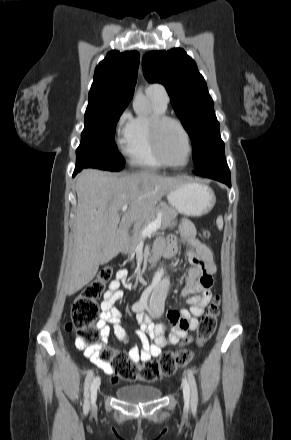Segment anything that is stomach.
<instances>
[{
    "label": "stomach",
    "mask_w": 291,
    "mask_h": 440,
    "mask_svg": "<svg viewBox=\"0 0 291 440\" xmlns=\"http://www.w3.org/2000/svg\"><path fill=\"white\" fill-rule=\"evenodd\" d=\"M167 200L181 214L201 216L211 211L216 196L205 184L183 180L167 193Z\"/></svg>",
    "instance_id": "obj_1"
}]
</instances>
